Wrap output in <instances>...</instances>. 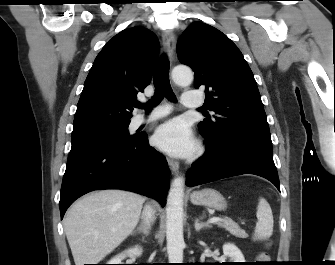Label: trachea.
<instances>
[{
	"label": "trachea",
	"mask_w": 335,
	"mask_h": 265,
	"mask_svg": "<svg viewBox=\"0 0 335 265\" xmlns=\"http://www.w3.org/2000/svg\"><path fill=\"white\" fill-rule=\"evenodd\" d=\"M169 69V61L165 55H162L155 67L153 74V82L155 87L154 96L146 106L137 103V108L143 107L145 111L148 112L152 107L158 105L164 97H166L170 101H175L176 97L173 93L169 81Z\"/></svg>",
	"instance_id": "1"
}]
</instances>
